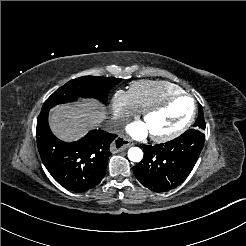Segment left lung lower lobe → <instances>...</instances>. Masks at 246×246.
<instances>
[{
    "label": "left lung lower lobe",
    "mask_w": 246,
    "mask_h": 246,
    "mask_svg": "<svg viewBox=\"0 0 246 246\" xmlns=\"http://www.w3.org/2000/svg\"><path fill=\"white\" fill-rule=\"evenodd\" d=\"M204 141V133L194 128L169 142L144 145V157L133 167L135 177L155 192L174 189L192 171Z\"/></svg>",
    "instance_id": "obj_1"
}]
</instances>
